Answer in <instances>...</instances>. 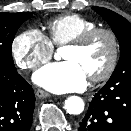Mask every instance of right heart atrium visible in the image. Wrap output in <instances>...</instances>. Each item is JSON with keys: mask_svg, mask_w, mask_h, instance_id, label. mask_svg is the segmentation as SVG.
Wrapping results in <instances>:
<instances>
[{"mask_svg": "<svg viewBox=\"0 0 131 131\" xmlns=\"http://www.w3.org/2000/svg\"><path fill=\"white\" fill-rule=\"evenodd\" d=\"M11 52L16 65L30 71L51 59L53 45L40 30L32 28L13 39Z\"/></svg>", "mask_w": 131, "mask_h": 131, "instance_id": "right-heart-atrium-1", "label": "right heart atrium"}]
</instances>
